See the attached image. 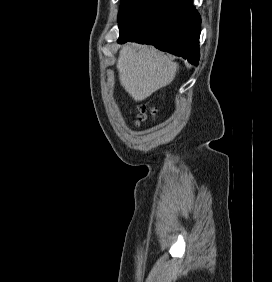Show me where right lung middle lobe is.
I'll return each instance as SVG.
<instances>
[{"mask_svg": "<svg viewBox=\"0 0 272 282\" xmlns=\"http://www.w3.org/2000/svg\"><path fill=\"white\" fill-rule=\"evenodd\" d=\"M140 0H122L119 10L118 20L124 18L139 2Z\"/></svg>", "mask_w": 272, "mask_h": 282, "instance_id": "dd1d6c3e", "label": "right lung middle lobe"}]
</instances>
